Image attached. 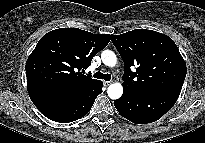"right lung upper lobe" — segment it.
<instances>
[{"label": "right lung upper lobe", "mask_w": 205, "mask_h": 143, "mask_svg": "<svg viewBox=\"0 0 205 143\" xmlns=\"http://www.w3.org/2000/svg\"><path fill=\"white\" fill-rule=\"evenodd\" d=\"M111 36L79 28H60L45 34L26 62L30 93L70 94L97 82L83 75L92 58L104 49Z\"/></svg>", "instance_id": "obj_1"}]
</instances>
